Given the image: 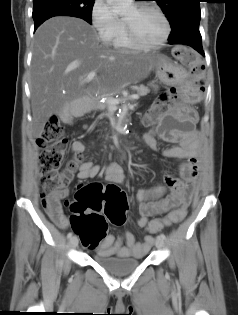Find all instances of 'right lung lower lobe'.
Returning a JSON list of instances; mask_svg holds the SVG:
<instances>
[{"mask_svg": "<svg viewBox=\"0 0 238 315\" xmlns=\"http://www.w3.org/2000/svg\"><path fill=\"white\" fill-rule=\"evenodd\" d=\"M54 16H72V15H68L65 13H50V14H45L42 16H39L37 18L34 19V24H35V30L38 28V26H40L45 20L54 17ZM75 17V16H74Z\"/></svg>", "mask_w": 238, "mask_h": 315, "instance_id": "obj_1", "label": "right lung lower lobe"}]
</instances>
